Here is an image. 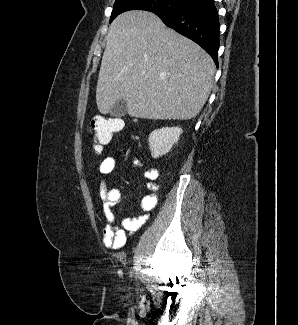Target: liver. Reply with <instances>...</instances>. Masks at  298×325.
Returning <instances> with one entry per match:
<instances>
[{
	"mask_svg": "<svg viewBox=\"0 0 298 325\" xmlns=\"http://www.w3.org/2000/svg\"><path fill=\"white\" fill-rule=\"evenodd\" d=\"M215 70L199 44L167 28L156 14L127 10L109 26L96 104L108 114L124 98L130 116L188 120L203 108Z\"/></svg>",
	"mask_w": 298,
	"mask_h": 325,
	"instance_id": "1",
	"label": "liver"
}]
</instances>
